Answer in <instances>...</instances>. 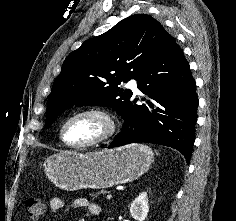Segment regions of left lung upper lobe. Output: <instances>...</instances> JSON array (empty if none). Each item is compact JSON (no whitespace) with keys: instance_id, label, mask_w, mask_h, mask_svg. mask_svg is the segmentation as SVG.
<instances>
[{"instance_id":"obj_1","label":"left lung upper lobe","mask_w":236,"mask_h":221,"mask_svg":"<svg viewBox=\"0 0 236 221\" xmlns=\"http://www.w3.org/2000/svg\"><path fill=\"white\" fill-rule=\"evenodd\" d=\"M167 31L152 16H129L86 40L62 65L47 102L46 128L73 105L112 107L123 116L132 91L119 85L137 79L160 48Z\"/></svg>"}]
</instances>
